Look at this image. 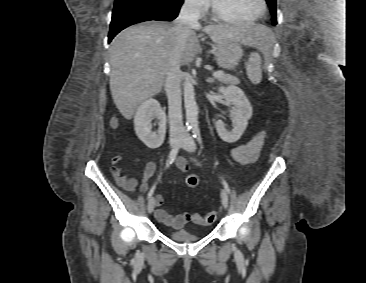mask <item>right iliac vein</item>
<instances>
[{"instance_id":"63e3f726","label":"right iliac vein","mask_w":366,"mask_h":283,"mask_svg":"<svg viewBox=\"0 0 366 283\" xmlns=\"http://www.w3.org/2000/svg\"><path fill=\"white\" fill-rule=\"evenodd\" d=\"M180 140H181L180 135H178V134L172 135L169 140L171 147H175L180 142ZM154 206H155V200L153 197H151L147 204V210L149 213L153 212Z\"/></svg>"}]
</instances>
